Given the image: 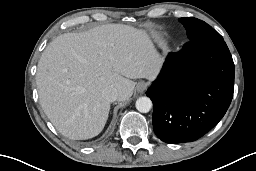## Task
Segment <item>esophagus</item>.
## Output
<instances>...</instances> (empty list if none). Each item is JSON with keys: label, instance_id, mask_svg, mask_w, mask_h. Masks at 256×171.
I'll list each match as a JSON object with an SVG mask.
<instances>
[{"label": "esophagus", "instance_id": "34e87169", "mask_svg": "<svg viewBox=\"0 0 256 171\" xmlns=\"http://www.w3.org/2000/svg\"><path fill=\"white\" fill-rule=\"evenodd\" d=\"M148 87V84L145 81H141L137 84L136 89L138 92L142 93L144 90H146Z\"/></svg>", "mask_w": 256, "mask_h": 171}]
</instances>
